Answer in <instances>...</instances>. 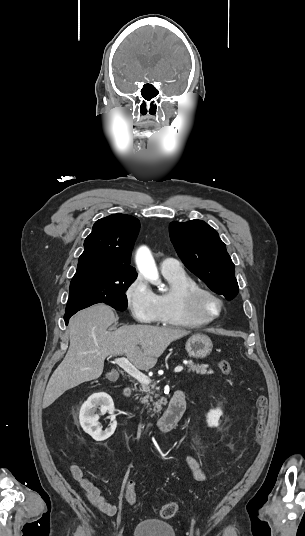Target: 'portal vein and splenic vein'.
<instances>
[{
	"label": "portal vein and splenic vein",
	"instance_id": "portal-vein-and-splenic-vein-1",
	"mask_svg": "<svg viewBox=\"0 0 305 536\" xmlns=\"http://www.w3.org/2000/svg\"><path fill=\"white\" fill-rule=\"evenodd\" d=\"M113 364H118L120 368H123L124 372H127L129 376H132V378H135V380H138L140 384H150V378L148 376H145V374H142V372H139L135 366H132L126 358H117V360H114ZM183 366H177V368H174V372H182ZM160 374H163V372H160Z\"/></svg>",
	"mask_w": 305,
	"mask_h": 536
}]
</instances>
